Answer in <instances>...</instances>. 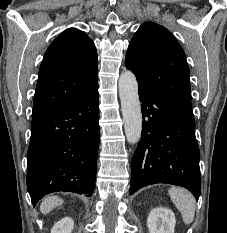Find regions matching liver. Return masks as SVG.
Instances as JSON below:
<instances>
[{
    "mask_svg": "<svg viewBox=\"0 0 227 233\" xmlns=\"http://www.w3.org/2000/svg\"><path fill=\"white\" fill-rule=\"evenodd\" d=\"M63 203V200L57 196H51L46 199H44L40 206V211L43 214L49 213L53 208L61 205Z\"/></svg>",
    "mask_w": 227,
    "mask_h": 233,
    "instance_id": "6515ba94",
    "label": "liver"
}]
</instances>
